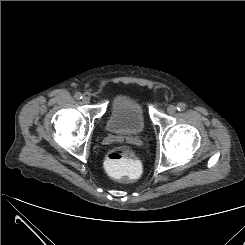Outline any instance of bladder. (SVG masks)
<instances>
[{
  "instance_id": "1",
  "label": "bladder",
  "mask_w": 245,
  "mask_h": 245,
  "mask_svg": "<svg viewBox=\"0 0 245 245\" xmlns=\"http://www.w3.org/2000/svg\"><path fill=\"white\" fill-rule=\"evenodd\" d=\"M146 122V114L140 99L134 94L122 93L112 102L106 129L114 134H139L145 129Z\"/></svg>"
}]
</instances>
